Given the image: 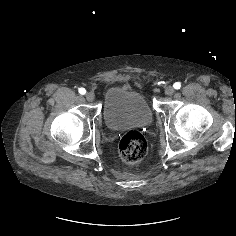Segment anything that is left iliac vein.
<instances>
[{
	"mask_svg": "<svg viewBox=\"0 0 236 236\" xmlns=\"http://www.w3.org/2000/svg\"><path fill=\"white\" fill-rule=\"evenodd\" d=\"M175 90L172 86H168L166 89H165V94L168 95V96H172L174 94Z\"/></svg>",
	"mask_w": 236,
	"mask_h": 236,
	"instance_id": "4c4485c4",
	"label": "left iliac vein"
}]
</instances>
